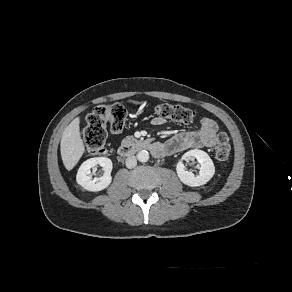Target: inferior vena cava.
I'll use <instances>...</instances> for the list:
<instances>
[{
    "mask_svg": "<svg viewBox=\"0 0 292 292\" xmlns=\"http://www.w3.org/2000/svg\"><path fill=\"white\" fill-rule=\"evenodd\" d=\"M125 163L127 168L132 169L137 165V159L135 156H129Z\"/></svg>",
    "mask_w": 292,
    "mask_h": 292,
    "instance_id": "1",
    "label": "inferior vena cava"
}]
</instances>
